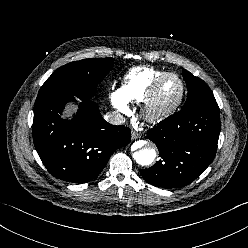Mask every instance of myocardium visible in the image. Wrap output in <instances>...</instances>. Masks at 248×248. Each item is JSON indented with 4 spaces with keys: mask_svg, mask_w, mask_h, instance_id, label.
<instances>
[{
    "mask_svg": "<svg viewBox=\"0 0 248 248\" xmlns=\"http://www.w3.org/2000/svg\"><path fill=\"white\" fill-rule=\"evenodd\" d=\"M169 77H175L179 80L181 90L178 98L169 103V104H160L158 102V94L159 90L163 84V82L169 78ZM186 93V86L184 80L181 78L180 75L172 72H167L163 74L161 77H159L153 86L151 87L147 97L144 100L143 104V116L145 117L146 120L149 122H157L160 121L171 114H173L179 106L182 104L183 99L185 97Z\"/></svg>",
    "mask_w": 248,
    "mask_h": 248,
    "instance_id": "f54148a6",
    "label": "myocardium"
}]
</instances>
